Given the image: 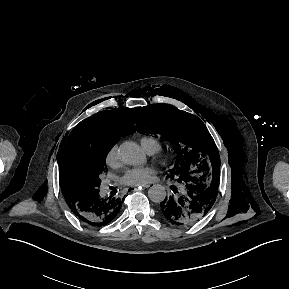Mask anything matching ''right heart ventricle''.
I'll list each match as a JSON object with an SVG mask.
<instances>
[{
  "label": "right heart ventricle",
  "mask_w": 289,
  "mask_h": 289,
  "mask_svg": "<svg viewBox=\"0 0 289 289\" xmlns=\"http://www.w3.org/2000/svg\"><path fill=\"white\" fill-rule=\"evenodd\" d=\"M141 145L143 148L149 152L151 150H154L155 152L160 149V143L151 136H143L140 139Z\"/></svg>",
  "instance_id": "right-heart-ventricle-1"
}]
</instances>
